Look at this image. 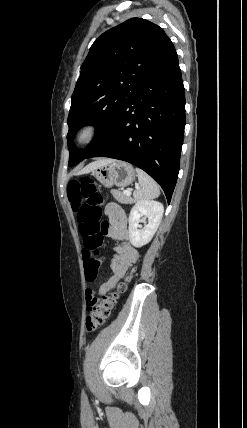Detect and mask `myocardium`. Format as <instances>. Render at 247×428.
<instances>
[{
  "instance_id": "f54148a6",
  "label": "myocardium",
  "mask_w": 247,
  "mask_h": 428,
  "mask_svg": "<svg viewBox=\"0 0 247 428\" xmlns=\"http://www.w3.org/2000/svg\"><path fill=\"white\" fill-rule=\"evenodd\" d=\"M98 125L93 122L83 124L75 135V142L80 146L92 143L98 134Z\"/></svg>"
}]
</instances>
